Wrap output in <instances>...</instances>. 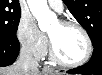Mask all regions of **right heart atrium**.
Returning <instances> with one entry per match:
<instances>
[{
	"mask_svg": "<svg viewBox=\"0 0 102 75\" xmlns=\"http://www.w3.org/2000/svg\"><path fill=\"white\" fill-rule=\"evenodd\" d=\"M17 38L21 46L37 59H42L47 52V40L37 28L34 20L23 16L17 27Z\"/></svg>",
	"mask_w": 102,
	"mask_h": 75,
	"instance_id": "d8ad5b80",
	"label": "right heart atrium"
}]
</instances>
